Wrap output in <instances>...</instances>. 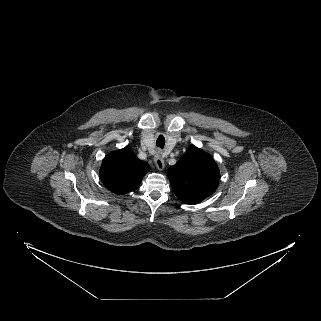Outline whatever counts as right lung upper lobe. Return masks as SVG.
Wrapping results in <instances>:
<instances>
[{
    "label": "right lung upper lobe",
    "instance_id": "obj_1",
    "mask_svg": "<svg viewBox=\"0 0 321 321\" xmlns=\"http://www.w3.org/2000/svg\"><path fill=\"white\" fill-rule=\"evenodd\" d=\"M149 169L148 163L139 160L131 149L123 148L103 159L100 178L111 192L124 195L138 188Z\"/></svg>",
    "mask_w": 321,
    "mask_h": 321
}]
</instances>
